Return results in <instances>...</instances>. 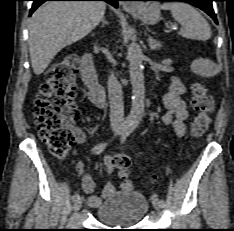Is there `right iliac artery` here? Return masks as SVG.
I'll use <instances>...</instances> for the list:
<instances>
[{"label": "right iliac artery", "instance_id": "82829eb1", "mask_svg": "<svg viewBox=\"0 0 234 231\" xmlns=\"http://www.w3.org/2000/svg\"><path fill=\"white\" fill-rule=\"evenodd\" d=\"M132 120H126L122 127L120 128V130L118 131L117 133V136L116 137H119L121 135H124V133L126 132V130L132 125ZM107 146V143H99L97 145H95L92 149V152L93 154H100L104 151V149L106 148ZM78 198H80V195L78 193H75L73 196H72V200L73 201H76Z\"/></svg>", "mask_w": 234, "mask_h": 231}]
</instances>
